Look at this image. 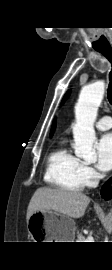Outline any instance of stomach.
Listing matches in <instances>:
<instances>
[{
    "instance_id": "obj_1",
    "label": "stomach",
    "mask_w": 112,
    "mask_h": 270,
    "mask_svg": "<svg viewBox=\"0 0 112 270\" xmlns=\"http://www.w3.org/2000/svg\"><path fill=\"white\" fill-rule=\"evenodd\" d=\"M27 229L34 242H74L76 226L66 215L40 210L32 213Z\"/></svg>"
}]
</instances>
